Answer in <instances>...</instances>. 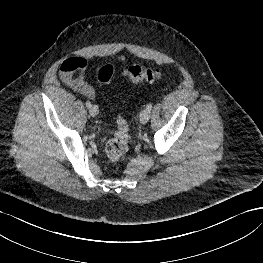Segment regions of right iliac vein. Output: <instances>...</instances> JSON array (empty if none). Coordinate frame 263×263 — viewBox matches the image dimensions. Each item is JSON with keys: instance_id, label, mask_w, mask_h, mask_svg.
<instances>
[{"instance_id": "right-iliac-vein-1", "label": "right iliac vein", "mask_w": 263, "mask_h": 263, "mask_svg": "<svg viewBox=\"0 0 263 263\" xmlns=\"http://www.w3.org/2000/svg\"><path fill=\"white\" fill-rule=\"evenodd\" d=\"M99 110L98 107L96 105L91 106L89 109V113L91 116L95 117L98 114Z\"/></svg>"}]
</instances>
